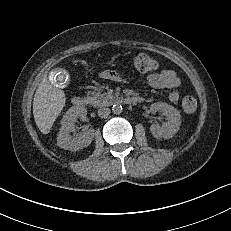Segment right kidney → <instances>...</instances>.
Instances as JSON below:
<instances>
[{
    "instance_id": "right-kidney-1",
    "label": "right kidney",
    "mask_w": 231,
    "mask_h": 231,
    "mask_svg": "<svg viewBox=\"0 0 231 231\" xmlns=\"http://www.w3.org/2000/svg\"><path fill=\"white\" fill-rule=\"evenodd\" d=\"M85 109L70 108L61 121V128L57 137V145L65 150L78 151L91 144L94 137V130L88 129L79 136L72 137L71 132L75 130L74 124L79 117H85Z\"/></svg>"
}]
</instances>
